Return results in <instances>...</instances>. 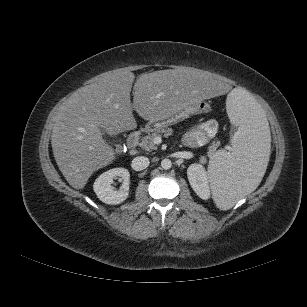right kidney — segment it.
Instances as JSON below:
<instances>
[{
  "mask_svg": "<svg viewBox=\"0 0 307 307\" xmlns=\"http://www.w3.org/2000/svg\"><path fill=\"white\" fill-rule=\"evenodd\" d=\"M123 181L119 190L111 186L115 177ZM129 171L125 168H113L101 174L94 182L93 189L97 197L104 203L117 205L125 201L129 195Z\"/></svg>",
  "mask_w": 307,
  "mask_h": 307,
  "instance_id": "right-kidney-1",
  "label": "right kidney"
}]
</instances>
